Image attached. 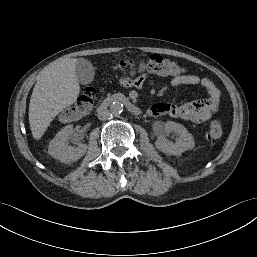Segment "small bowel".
<instances>
[{
	"instance_id": "1",
	"label": "small bowel",
	"mask_w": 257,
	"mask_h": 257,
	"mask_svg": "<svg viewBox=\"0 0 257 257\" xmlns=\"http://www.w3.org/2000/svg\"><path fill=\"white\" fill-rule=\"evenodd\" d=\"M147 81L148 74L141 67L123 68L116 75V82L123 89L141 88ZM170 84L175 88L184 85L200 86L207 97L183 104H155L148 111L151 116L168 115L195 123H202L217 112L220 103V93L217 86L210 79L195 74L180 73L172 77Z\"/></svg>"
}]
</instances>
